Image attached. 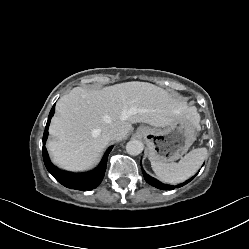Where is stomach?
<instances>
[{"label": "stomach", "mask_w": 249, "mask_h": 249, "mask_svg": "<svg viewBox=\"0 0 249 249\" xmlns=\"http://www.w3.org/2000/svg\"><path fill=\"white\" fill-rule=\"evenodd\" d=\"M196 114L181 115L163 129L139 127L137 132L147 143L149 160L169 163L182 158L196 140Z\"/></svg>", "instance_id": "0dacf381"}]
</instances>
